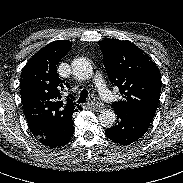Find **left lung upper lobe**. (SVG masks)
Listing matches in <instances>:
<instances>
[{"label":"left lung upper lobe","mask_w":183,"mask_h":183,"mask_svg":"<svg viewBox=\"0 0 183 183\" xmlns=\"http://www.w3.org/2000/svg\"><path fill=\"white\" fill-rule=\"evenodd\" d=\"M98 44L109 80L123 96L111 107L115 112L134 115L151 123L162 85L156 64L130 41L105 39Z\"/></svg>","instance_id":"5c2ea615"}]
</instances>
